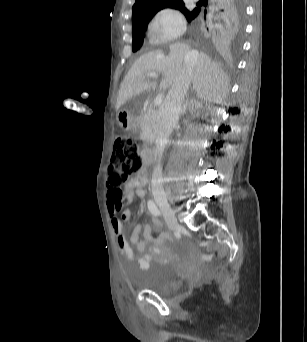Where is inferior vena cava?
Masks as SVG:
<instances>
[{
	"mask_svg": "<svg viewBox=\"0 0 307 342\" xmlns=\"http://www.w3.org/2000/svg\"><path fill=\"white\" fill-rule=\"evenodd\" d=\"M196 54L197 52H188L187 56H185L183 72L178 76L175 84L171 86L158 112V132L155 150L158 160L152 174V192L164 194L161 160L168 138L172 134L173 128L178 124L182 104L191 84L194 68L193 58H195Z\"/></svg>",
	"mask_w": 307,
	"mask_h": 342,
	"instance_id": "obj_1",
	"label": "inferior vena cava"
}]
</instances>
